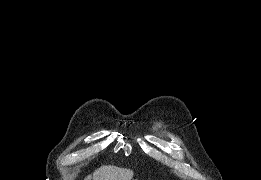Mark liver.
Here are the masks:
<instances>
[{"instance_id": "obj_1", "label": "liver", "mask_w": 261, "mask_h": 180, "mask_svg": "<svg viewBox=\"0 0 261 180\" xmlns=\"http://www.w3.org/2000/svg\"><path fill=\"white\" fill-rule=\"evenodd\" d=\"M104 178H106V180H118V178H121V174H115L111 168H109V170H106V168H101V170H97V172H95L93 178L92 176H87L86 180H104ZM131 178L132 174L127 170L125 180H131Z\"/></svg>"}]
</instances>
